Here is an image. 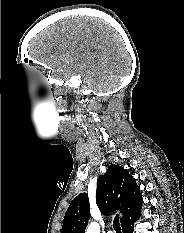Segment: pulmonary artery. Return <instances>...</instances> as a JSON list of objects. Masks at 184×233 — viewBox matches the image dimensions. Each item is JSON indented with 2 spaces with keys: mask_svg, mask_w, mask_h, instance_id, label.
<instances>
[{
  "mask_svg": "<svg viewBox=\"0 0 184 233\" xmlns=\"http://www.w3.org/2000/svg\"><path fill=\"white\" fill-rule=\"evenodd\" d=\"M107 233H114V231H112V230H109Z\"/></svg>",
  "mask_w": 184,
  "mask_h": 233,
  "instance_id": "obj_1",
  "label": "pulmonary artery"
}]
</instances>
